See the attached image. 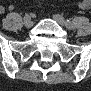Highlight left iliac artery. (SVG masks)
<instances>
[{
	"mask_svg": "<svg viewBox=\"0 0 91 91\" xmlns=\"http://www.w3.org/2000/svg\"><path fill=\"white\" fill-rule=\"evenodd\" d=\"M70 24H72L71 21L67 19V23L65 24L66 27L69 26Z\"/></svg>",
	"mask_w": 91,
	"mask_h": 91,
	"instance_id": "44dca946",
	"label": "left iliac artery"
}]
</instances>
